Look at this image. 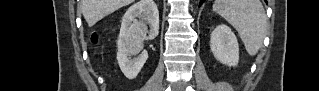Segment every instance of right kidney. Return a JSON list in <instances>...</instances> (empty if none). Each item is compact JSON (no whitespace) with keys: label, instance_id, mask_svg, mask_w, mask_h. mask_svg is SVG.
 I'll return each mask as SVG.
<instances>
[{"label":"right kidney","instance_id":"right-kidney-1","mask_svg":"<svg viewBox=\"0 0 319 91\" xmlns=\"http://www.w3.org/2000/svg\"><path fill=\"white\" fill-rule=\"evenodd\" d=\"M158 33L159 12L153 0H140L129 7L122 18L117 40L118 64L127 78H136L148 58L147 51L143 50L146 35L149 34V39L152 40ZM136 54L139 55L133 59L129 57Z\"/></svg>","mask_w":319,"mask_h":91}]
</instances>
